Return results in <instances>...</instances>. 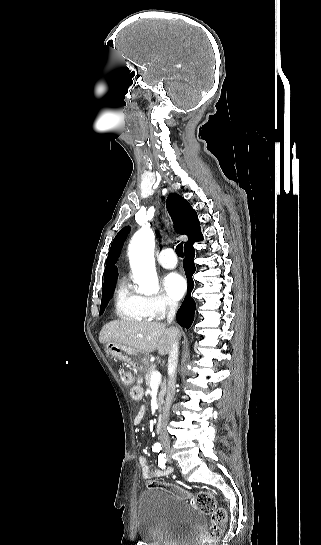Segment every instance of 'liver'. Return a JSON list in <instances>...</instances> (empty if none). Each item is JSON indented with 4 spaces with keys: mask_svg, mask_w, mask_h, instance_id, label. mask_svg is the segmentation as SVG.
I'll list each match as a JSON object with an SVG mask.
<instances>
[{
    "mask_svg": "<svg viewBox=\"0 0 321 545\" xmlns=\"http://www.w3.org/2000/svg\"><path fill=\"white\" fill-rule=\"evenodd\" d=\"M179 333L158 321H110L99 333L100 343H119L139 353L169 355Z\"/></svg>",
    "mask_w": 321,
    "mask_h": 545,
    "instance_id": "liver-1",
    "label": "liver"
}]
</instances>
